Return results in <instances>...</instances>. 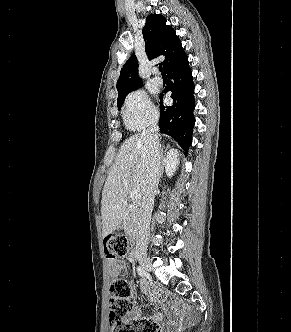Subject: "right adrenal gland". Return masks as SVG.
I'll return each mask as SVG.
<instances>
[{"instance_id":"right-adrenal-gland-1","label":"right adrenal gland","mask_w":291,"mask_h":332,"mask_svg":"<svg viewBox=\"0 0 291 332\" xmlns=\"http://www.w3.org/2000/svg\"><path fill=\"white\" fill-rule=\"evenodd\" d=\"M161 155H162V172L161 175L163 174L164 166L166 165V160L163 156V148L161 149Z\"/></svg>"}]
</instances>
